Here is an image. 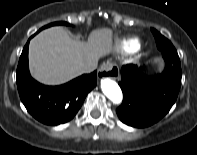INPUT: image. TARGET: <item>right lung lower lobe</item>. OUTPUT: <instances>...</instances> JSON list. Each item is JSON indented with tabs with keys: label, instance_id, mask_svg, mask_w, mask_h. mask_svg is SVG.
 I'll use <instances>...</instances> for the list:
<instances>
[{
	"label": "right lung lower lobe",
	"instance_id": "obj_1",
	"mask_svg": "<svg viewBox=\"0 0 197 155\" xmlns=\"http://www.w3.org/2000/svg\"><path fill=\"white\" fill-rule=\"evenodd\" d=\"M29 40L23 48L16 71V83L27 111L47 125L71 120L87 94L96 86L97 73L84 74L60 86H46L34 80L28 67Z\"/></svg>",
	"mask_w": 197,
	"mask_h": 155
}]
</instances>
